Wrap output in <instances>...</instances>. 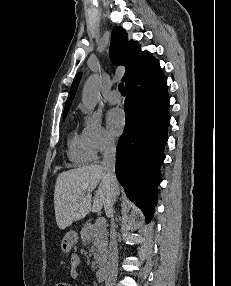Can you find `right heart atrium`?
Listing matches in <instances>:
<instances>
[{
    "mask_svg": "<svg viewBox=\"0 0 231 286\" xmlns=\"http://www.w3.org/2000/svg\"><path fill=\"white\" fill-rule=\"evenodd\" d=\"M82 134L93 152L102 154L112 150L115 140L102 126L100 116L96 113H85Z\"/></svg>",
    "mask_w": 231,
    "mask_h": 286,
    "instance_id": "right-heart-atrium-1",
    "label": "right heart atrium"
}]
</instances>
